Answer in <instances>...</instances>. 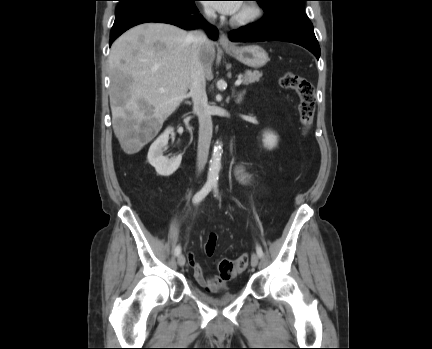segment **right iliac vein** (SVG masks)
Returning a JSON list of instances; mask_svg holds the SVG:
<instances>
[{
	"label": "right iliac vein",
	"mask_w": 432,
	"mask_h": 349,
	"mask_svg": "<svg viewBox=\"0 0 432 349\" xmlns=\"http://www.w3.org/2000/svg\"><path fill=\"white\" fill-rule=\"evenodd\" d=\"M177 262H178V265L179 266H184V264H185V257H184V255H179L178 256V259H177Z\"/></svg>",
	"instance_id": "obj_1"
}]
</instances>
